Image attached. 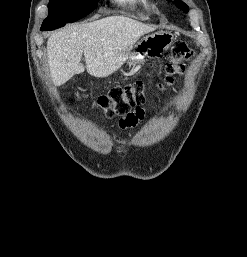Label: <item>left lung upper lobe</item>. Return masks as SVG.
<instances>
[{
  "mask_svg": "<svg viewBox=\"0 0 247 257\" xmlns=\"http://www.w3.org/2000/svg\"><path fill=\"white\" fill-rule=\"evenodd\" d=\"M175 5L178 8L182 9L183 11L188 12V6L185 3H183L182 1H179V0L175 1Z\"/></svg>",
  "mask_w": 247,
  "mask_h": 257,
  "instance_id": "1",
  "label": "left lung upper lobe"
}]
</instances>
